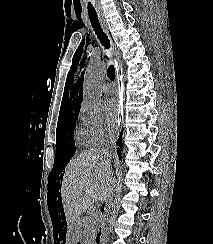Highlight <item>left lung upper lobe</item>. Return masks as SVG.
Masks as SVG:
<instances>
[{
  "mask_svg": "<svg viewBox=\"0 0 213 244\" xmlns=\"http://www.w3.org/2000/svg\"><path fill=\"white\" fill-rule=\"evenodd\" d=\"M72 76H73V75H71V77L69 78V81L72 79ZM70 83H71V81H70Z\"/></svg>",
  "mask_w": 213,
  "mask_h": 244,
  "instance_id": "left-lung-upper-lobe-1",
  "label": "left lung upper lobe"
}]
</instances>
